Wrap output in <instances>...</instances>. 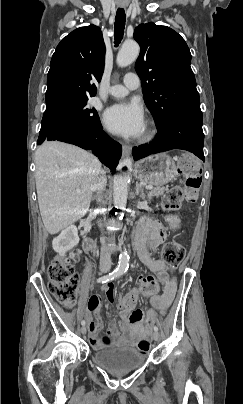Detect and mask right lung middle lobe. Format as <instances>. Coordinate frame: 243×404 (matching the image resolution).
<instances>
[{"instance_id": "right-lung-middle-lobe-1", "label": "right lung middle lobe", "mask_w": 243, "mask_h": 404, "mask_svg": "<svg viewBox=\"0 0 243 404\" xmlns=\"http://www.w3.org/2000/svg\"><path fill=\"white\" fill-rule=\"evenodd\" d=\"M89 98H68L46 104L37 143L42 144L48 135L58 126L65 123H78L91 126L101 125L95 108L88 106Z\"/></svg>"}]
</instances>
